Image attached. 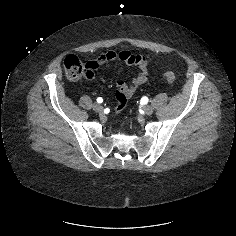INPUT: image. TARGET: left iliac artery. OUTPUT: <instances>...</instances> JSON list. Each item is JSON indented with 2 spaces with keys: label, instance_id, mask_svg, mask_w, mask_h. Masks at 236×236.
<instances>
[{
  "label": "left iliac artery",
  "instance_id": "44dca946",
  "mask_svg": "<svg viewBox=\"0 0 236 236\" xmlns=\"http://www.w3.org/2000/svg\"><path fill=\"white\" fill-rule=\"evenodd\" d=\"M142 101H143V102H148V98H147V97H143V98H142Z\"/></svg>",
  "mask_w": 236,
  "mask_h": 236
}]
</instances>
